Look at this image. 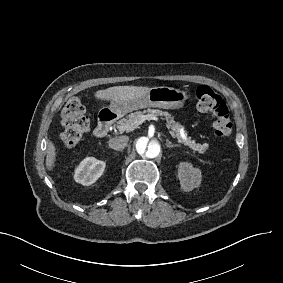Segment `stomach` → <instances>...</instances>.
Here are the masks:
<instances>
[{"instance_id":"0dacf381","label":"stomach","mask_w":283,"mask_h":283,"mask_svg":"<svg viewBox=\"0 0 283 283\" xmlns=\"http://www.w3.org/2000/svg\"><path fill=\"white\" fill-rule=\"evenodd\" d=\"M188 93L185 90L161 86L151 88L149 92L140 99L128 100L125 102L113 101L110 109L118 118L125 116L135 110L149 107L162 108L168 110H179L185 106Z\"/></svg>"}]
</instances>
